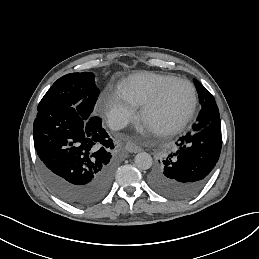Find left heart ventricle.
<instances>
[{"label": "left heart ventricle", "instance_id": "b2bd125f", "mask_svg": "<svg viewBox=\"0 0 259 259\" xmlns=\"http://www.w3.org/2000/svg\"><path fill=\"white\" fill-rule=\"evenodd\" d=\"M191 101V90L182 81L173 83L166 91L158 107L149 112L141 120L147 122L157 132L165 129Z\"/></svg>", "mask_w": 259, "mask_h": 259}]
</instances>
